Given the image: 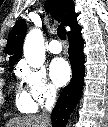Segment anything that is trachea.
I'll return each mask as SVG.
<instances>
[{
	"label": "trachea",
	"mask_w": 108,
	"mask_h": 127,
	"mask_svg": "<svg viewBox=\"0 0 108 127\" xmlns=\"http://www.w3.org/2000/svg\"><path fill=\"white\" fill-rule=\"evenodd\" d=\"M57 33H58V36L61 40H65L66 39V29L64 27L63 24H60L57 28Z\"/></svg>",
	"instance_id": "1"
}]
</instances>
